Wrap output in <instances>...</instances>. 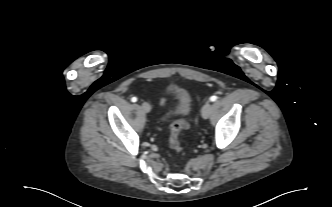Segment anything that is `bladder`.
I'll return each instance as SVG.
<instances>
[{"instance_id":"1","label":"bladder","mask_w":332,"mask_h":207,"mask_svg":"<svg viewBox=\"0 0 332 207\" xmlns=\"http://www.w3.org/2000/svg\"><path fill=\"white\" fill-rule=\"evenodd\" d=\"M172 92L174 103L173 106L165 111L161 116V121L166 122L170 118L187 117L191 114L193 108L192 96L190 92L180 86H171L167 88Z\"/></svg>"}]
</instances>
